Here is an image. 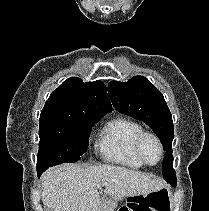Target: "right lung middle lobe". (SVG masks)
<instances>
[{
  "label": "right lung middle lobe",
  "instance_id": "right-lung-middle-lobe-1",
  "mask_svg": "<svg viewBox=\"0 0 209 211\" xmlns=\"http://www.w3.org/2000/svg\"><path fill=\"white\" fill-rule=\"evenodd\" d=\"M102 117L39 122L37 170L73 163L87 150L92 126Z\"/></svg>",
  "mask_w": 209,
  "mask_h": 211
}]
</instances>
